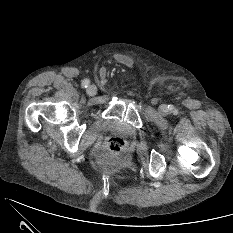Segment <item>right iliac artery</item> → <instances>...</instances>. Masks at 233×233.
<instances>
[{
  "label": "right iliac artery",
  "instance_id": "right-iliac-artery-1",
  "mask_svg": "<svg viewBox=\"0 0 233 233\" xmlns=\"http://www.w3.org/2000/svg\"><path fill=\"white\" fill-rule=\"evenodd\" d=\"M89 84H90V81L88 79H85V80L82 81L81 85H82L83 88H86V87L89 86Z\"/></svg>",
  "mask_w": 233,
  "mask_h": 233
}]
</instances>
